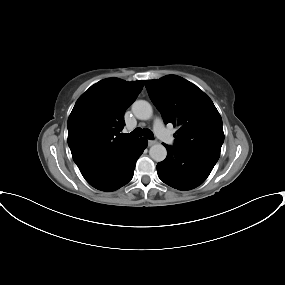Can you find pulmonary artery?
<instances>
[{"label": "pulmonary artery", "mask_w": 285, "mask_h": 285, "mask_svg": "<svg viewBox=\"0 0 285 285\" xmlns=\"http://www.w3.org/2000/svg\"><path fill=\"white\" fill-rule=\"evenodd\" d=\"M154 131L156 135L162 139L167 145H174L175 139L170 132L165 128L163 122L160 119H156L154 123Z\"/></svg>", "instance_id": "e3ab8cb5"}]
</instances>
